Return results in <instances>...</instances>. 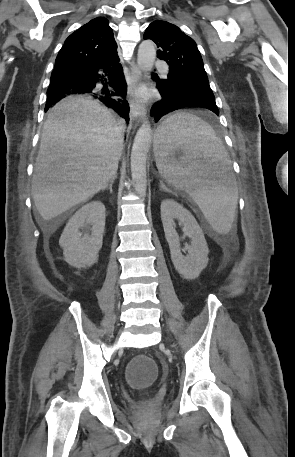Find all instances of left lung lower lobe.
I'll use <instances>...</instances> for the list:
<instances>
[{
	"label": "left lung lower lobe",
	"mask_w": 295,
	"mask_h": 457,
	"mask_svg": "<svg viewBox=\"0 0 295 457\" xmlns=\"http://www.w3.org/2000/svg\"><path fill=\"white\" fill-rule=\"evenodd\" d=\"M157 87L162 96V100L157 102L151 110V116L154 118L155 122L163 115L185 107H203L211 110L216 115H219L215 97L210 90L199 89L186 91L174 84L163 87L160 82L157 83Z\"/></svg>",
	"instance_id": "left-lung-lower-lobe-1"
}]
</instances>
